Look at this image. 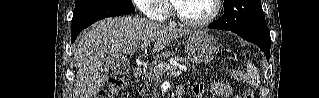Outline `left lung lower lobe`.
<instances>
[{
	"label": "left lung lower lobe",
	"instance_id": "obj_1",
	"mask_svg": "<svg viewBox=\"0 0 319 98\" xmlns=\"http://www.w3.org/2000/svg\"><path fill=\"white\" fill-rule=\"evenodd\" d=\"M210 29H218L216 26L210 24L208 26ZM238 34L243 39L250 41L252 43L257 44L265 53L267 60H269L270 56V46H271V38L270 34L266 32H239L233 31Z\"/></svg>",
	"mask_w": 319,
	"mask_h": 98
}]
</instances>
